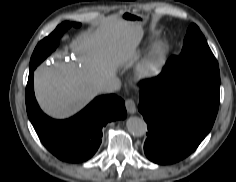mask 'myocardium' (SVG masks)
I'll return each mask as SVG.
<instances>
[{"mask_svg":"<svg viewBox=\"0 0 236 182\" xmlns=\"http://www.w3.org/2000/svg\"><path fill=\"white\" fill-rule=\"evenodd\" d=\"M166 45L164 42H159L150 56L139 66L137 70L138 77H144L148 75L155 64L159 61L163 53L165 52Z\"/></svg>","mask_w":236,"mask_h":182,"instance_id":"f54148a6","label":"myocardium"}]
</instances>
